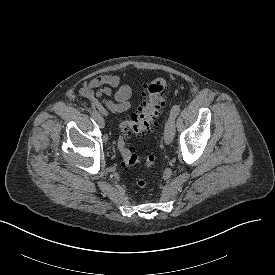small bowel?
I'll return each mask as SVG.
<instances>
[{
	"mask_svg": "<svg viewBox=\"0 0 275 275\" xmlns=\"http://www.w3.org/2000/svg\"><path fill=\"white\" fill-rule=\"evenodd\" d=\"M116 87L119 88L113 92L112 89ZM80 93L104 116L126 112L131 106V88L122 85L121 79L115 75H100L91 79Z\"/></svg>",
	"mask_w": 275,
	"mask_h": 275,
	"instance_id": "1",
	"label": "small bowel"
}]
</instances>
